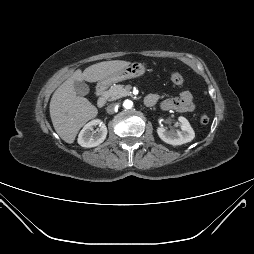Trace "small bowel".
<instances>
[{"instance_id": "small-bowel-1", "label": "small bowel", "mask_w": 254, "mask_h": 254, "mask_svg": "<svg viewBox=\"0 0 254 254\" xmlns=\"http://www.w3.org/2000/svg\"><path fill=\"white\" fill-rule=\"evenodd\" d=\"M147 98H149L154 105L160 100V95L157 93H152L149 94ZM161 108L166 111L174 110L182 113L192 112L195 109L193 95L190 91H181L179 96L176 98H166L162 100Z\"/></svg>"}]
</instances>
